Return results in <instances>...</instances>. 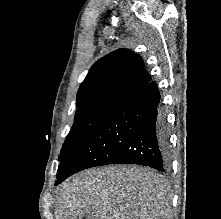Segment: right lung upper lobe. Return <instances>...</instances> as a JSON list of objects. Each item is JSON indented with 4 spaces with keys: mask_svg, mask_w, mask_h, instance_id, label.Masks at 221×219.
Returning <instances> with one entry per match:
<instances>
[{
    "mask_svg": "<svg viewBox=\"0 0 221 219\" xmlns=\"http://www.w3.org/2000/svg\"><path fill=\"white\" fill-rule=\"evenodd\" d=\"M142 58L128 49L116 50L98 60L77 93V106L91 101L126 96L150 82Z\"/></svg>",
    "mask_w": 221,
    "mask_h": 219,
    "instance_id": "obj_1",
    "label": "right lung upper lobe"
}]
</instances>
